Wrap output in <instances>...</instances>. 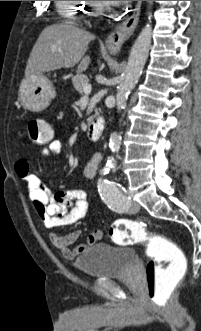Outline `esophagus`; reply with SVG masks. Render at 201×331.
<instances>
[{
  "label": "esophagus",
  "instance_id": "obj_1",
  "mask_svg": "<svg viewBox=\"0 0 201 331\" xmlns=\"http://www.w3.org/2000/svg\"><path fill=\"white\" fill-rule=\"evenodd\" d=\"M141 2L137 1L133 14L107 37L106 45L112 53L120 52L123 43L133 34L139 21Z\"/></svg>",
  "mask_w": 201,
  "mask_h": 331
}]
</instances>
